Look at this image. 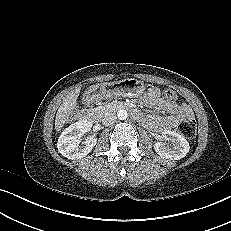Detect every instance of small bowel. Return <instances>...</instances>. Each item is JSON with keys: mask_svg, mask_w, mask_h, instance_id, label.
Returning <instances> with one entry per match:
<instances>
[{"mask_svg": "<svg viewBox=\"0 0 231 231\" xmlns=\"http://www.w3.org/2000/svg\"><path fill=\"white\" fill-rule=\"evenodd\" d=\"M142 103L151 109L170 113L165 117L149 115L143 119V122L155 132L172 130L181 121L193 119V112L187 104H178L176 101L164 99L158 88L149 89Z\"/></svg>", "mask_w": 231, "mask_h": 231, "instance_id": "small-bowel-1", "label": "small bowel"}]
</instances>
